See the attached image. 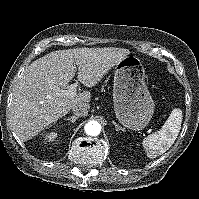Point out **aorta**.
Returning a JSON list of instances; mask_svg holds the SVG:
<instances>
[{
	"mask_svg": "<svg viewBox=\"0 0 199 199\" xmlns=\"http://www.w3.org/2000/svg\"><path fill=\"white\" fill-rule=\"evenodd\" d=\"M85 133L90 136H97L101 131V125L97 121H89L84 126Z\"/></svg>",
	"mask_w": 199,
	"mask_h": 199,
	"instance_id": "aorta-1",
	"label": "aorta"
}]
</instances>
